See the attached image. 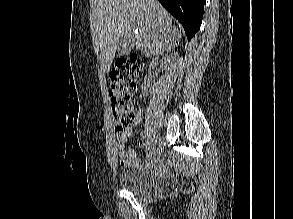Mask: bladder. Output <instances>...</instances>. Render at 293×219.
Here are the masks:
<instances>
[{
  "instance_id": "1",
  "label": "bladder",
  "mask_w": 293,
  "mask_h": 219,
  "mask_svg": "<svg viewBox=\"0 0 293 219\" xmlns=\"http://www.w3.org/2000/svg\"><path fill=\"white\" fill-rule=\"evenodd\" d=\"M119 184L123 189L134 194H150L163 190L167 186V179L161 173L137 168L121 172Z\"/></svg>"
}]
</instances>
